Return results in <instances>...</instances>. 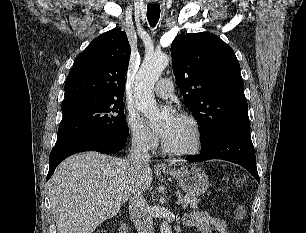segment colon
I'll return each instance as SVG.
<instances>
[{
    "mask_svg": "<svg viewBox=\"0 0 306 233\" xmlns=\"http://www.w3.org/2000/svg\"><path fill=\"white\" fill-rule=\"evenodd\" d=\"M234 218L238 221H241L245 218L247 214V208L245 205H237L234 209ZM95 233H106L105 230H97Z\"/></svg>",
    "mask_w": 306,
    "mask_h": 233,
    "instance_id": "1",
    "label": "colon"
}]
</instances>
